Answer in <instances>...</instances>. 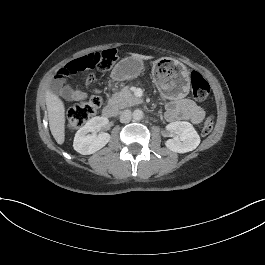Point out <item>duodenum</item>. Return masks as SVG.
<instances>
[{
	"label": "duodenum",
	"instance_id": "duodenum-1",
	"mask_svg": "<svg viewBox=\"0 0 265 265\" xmlns=\"http://www.w3.org/2000/svg\"><path fill=\"white\" fill-rule=\"evenodd\" d=\"M117 112H118V108L116 104H114L113 102H110L104 106L102 114L106 118H113L114 116H116Z\"/></svg>",
	"mask_w": 265,
	"mask_h": 265
}]
</instances>
